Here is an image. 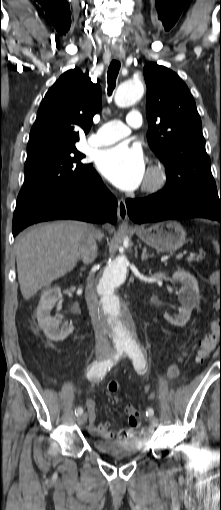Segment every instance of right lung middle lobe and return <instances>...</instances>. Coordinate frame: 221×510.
Instances as JSON below:
<instances>
[{
	"label": "right lung middle lobe",
	"instance_id": "1",
	"mask_svg": "<svg viewBox=\"0 0 221 510\" xmlns=\"http://www.w3.org/2000/svg\"><path fill=\"white\" fill-rule=\"evenodd\" d=\"M85 157L75 146L45 148L27 154L25 181L18 195L14 217L24 219L46 198L80 182L92 168L83 164Z\"/></svg>",
	"mask_w": 221,
	"mask_h": 510
}]
</instances>
